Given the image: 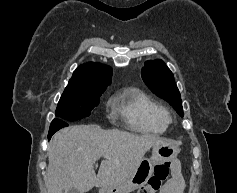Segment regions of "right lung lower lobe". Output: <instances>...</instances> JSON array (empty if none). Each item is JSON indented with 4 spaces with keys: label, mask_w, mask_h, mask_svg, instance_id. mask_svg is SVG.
I'll return each mask as SVG.
<instances>
[{
    "label": "right lung lower lobe",
    "mask_w": 237,
    "mask_h": 193,
    "mask_svg": "<svg viewBox=\"0 0 237 193\" xmlns=\"http://www.w3.org/2000/svg\"><path fill=\"white\" fill-rule=\"evenodd\" d=\"M68 126V124L66 122H64L63 120H59V119H54L50 125V129H49V133H48V140L51 139L52 135L58 131L59 129Z\"/></svg>",
    "instance_id": "98d812e1"
}]
</instances>
